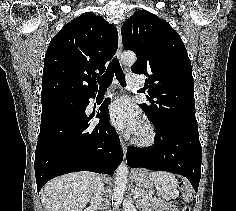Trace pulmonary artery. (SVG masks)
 <instances>
[{
    "instance_id": "obj_1",
    "label": "pulmonary artery",
    "mask_w": 236,
    "mask_h": 211,
    "mask_svg": "<svg viewBox=\"0 0 236 211\" xmlns=\"http://www.w3.org/2000/svg\"><path fill=\"white\" fill-rule=\"evenodd\" d=\"M126 82L129 86L138 87L143 82V79L141 77H139L138 75L134 74V73H128L126 75ZM112 92L113 91L110 89L107 92V95L112 94Z\"/></svg>"
}]
</instances>
